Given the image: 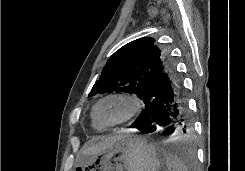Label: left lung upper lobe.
I'll use <instances>...</instances> for the list:
<instances>
[{
  "instance_id": "obj_1",
  "label": "left lung upper lobe",
  "mask_w": 245,
  "mask_h": 171,
  "mask_svg": "<svg viewBox=\"0 0 245 171\" xmlns=\"http://www.w3.org/2000/svg\"><path fill=\"white\" fill-rule=\"evenodd\" d=\"M144 37L134 40L116 51L103 68L89 96L113 91L135 93L142 98L147 86L166 68V55Z\"/></svg>"
}]
</instances>
